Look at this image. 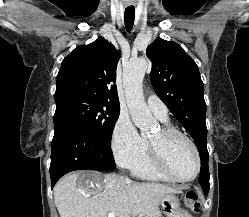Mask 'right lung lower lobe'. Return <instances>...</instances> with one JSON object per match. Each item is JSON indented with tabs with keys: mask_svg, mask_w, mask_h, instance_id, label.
<instances>
[{
	"mask_svg": "<svg viewBox=\"0 0 249 217\" xmlns=\"http://www.w3.org/2000/svg\"><path fill=\"white\" fill-rule=\"evenodd\" d=\"M54 129L50 164L52 188L70 171L115 168L111 146L92 137L69 118L54 117Z\"/></svg>",
	"mask_w": 249,
	"mask_h": 217,
	"instance_id": "right-lung-lower-lobe-1",
	"label": "right lung lower lobe"
}]
</instances>
